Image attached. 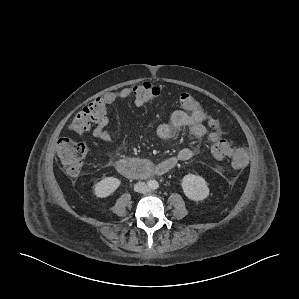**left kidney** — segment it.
<instances>
[{
  "mask_svg": "<svg viewBox=\"0 0 299 299\" xmlns=\"http://www.w3.org/2000/svg\"><path fill=\"white\" fill-rule=\"evenodd\" d=\"M181 186L186 197L193 201L204 200L210 191L205 179L194 174L185 175Z\"/></svg>",
  "mask_w": 299,
  "mask_h": 299,
  "instance_id": "obj_1",
  "label": "left kidney"
}]
</instances>
